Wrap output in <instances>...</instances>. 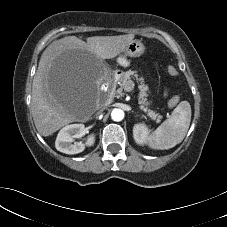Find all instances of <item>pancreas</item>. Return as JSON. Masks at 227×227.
<instances>
[{"mask_svg":"<svg viewBox=\"0 0 227 227\" xmlns=\"http://www.w3.org/2000/svg\"><path fill=\"white\" fill-rule=\"evenodd\" d=\"M132 78H135L139 81V95H138V103L139 107L142 111L147 113V116L150 117L152 120H155L156 122H159L161 119V116L156 113L153 110L148 109L149 102H148V86L144 83V78L139 77L137 71L128 70L126 71L121 78L116 81V84L119 85V88L114 91L113 95L116 97H122L124 95L123 90H126L129 86H131L133 81Z\"/></svg>","mask_w":227,"mask_h":227,"instance_id":"1","label":"pancreas"}]
</instances>
